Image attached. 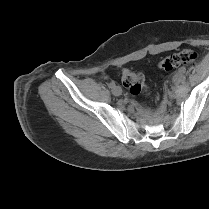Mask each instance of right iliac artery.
<instances>
[{
    "mask_svg": "<svg viewBox=\"0 0 209 209\" xmlns=\"http://www.w3.org/2000/svg\"><path fill=\"white\" fill-rule=\"evenodd\" d=\"M109 87H110V88H114V87H115V82H114V81H111V82L109 83Z\"/></svg>",
    "mask_w": 209,
    "mask_h": 209,
    "instance_id": "82829eb1",
    "label": "right iliac artery"
}]
</instances>
